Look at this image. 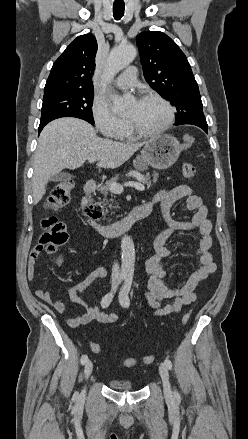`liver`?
Here are the masks:
<instances>
[{
    "label": "liver",
    "mask_w": 248,
    "mask_h": 439,
    "mask_svg": "<svg viewBox=\"0 0 248 439\" xmlns=\"http://www.w3.org/2000/svg\"><path fill=\"white\" fill-rule=\"evenodd\" d=\"M144 144L100 138L92 125L78 118L65 117L50 122L39 136L33 158L34 204L46 193L48 180L63 169L79 168L90 158L98 161V167L114 169Z\"/></svg>",
    "instance_id": "liver-1"
}]
</instances>
